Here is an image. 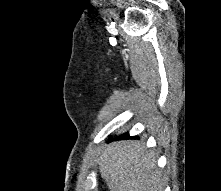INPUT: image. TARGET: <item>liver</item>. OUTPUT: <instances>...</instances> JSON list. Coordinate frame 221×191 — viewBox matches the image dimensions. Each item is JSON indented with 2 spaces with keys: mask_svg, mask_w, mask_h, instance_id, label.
I'll list each match as a JSON object with an SVG mask.
<instances>
[{
  "mask_svg": "<svg viewBox=\"0 0 221 191\" xmlns=\"http://www.w3.org/2000/svg\"><path fill=\"white\" fill-rule=\"evenodd\" d=\"M155 153L139 141H118L98 159L101 176L110 191H163L165 179Z\"/></svg>",
  "mask_w": 221,
  "mask_h": 191,
  "instance_id": "obj_1",
  "label": "liver"
}]
</instances>
